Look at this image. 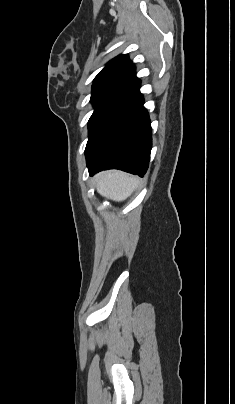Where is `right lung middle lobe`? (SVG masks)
Returning <instances> with one entry per match:
<instances>
[{
    "label": "right lung middle lobe",
    "mask_w": 235,
    "mask_h": 404,
    "mask_svg": "<svg viewBox=\"0 0 235 404\" xmlns=\"http://www.w3.org/2000/svg\"><path fill=\"white\" fill-rule=\"evenodd\" d=\"M128 87L124 84L93 86L90 101L95 109L88 122L89 135L107 112L122 98Z\"/></svg>",
    "instance_id": "obj_1"
}]
</instances>
